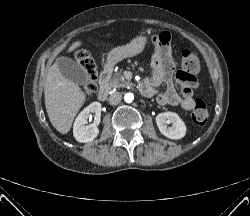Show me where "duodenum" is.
Returning <instances> with one entry per match:
<instances>
[{
  "label": "duodenum",
  "mask_w": 250,
  "mask_h": 216,
  "mask_svg": "<svg viewBox=\"0 0 250 216\" xmlns=\"http://www.w3.org/2000/svg\"><path fill=\"white\" fill-rule=\"evenodd\" d=\"M110 67L108 65L103 67V70L100 74V80H99V91H98V98L101 101H104L107 99L109 95V87L107 84V76L109 74ZM142 90H144V86L141 87Z\"/></svg>",
  "instance_id": "obj_1"
}]
</instances>
